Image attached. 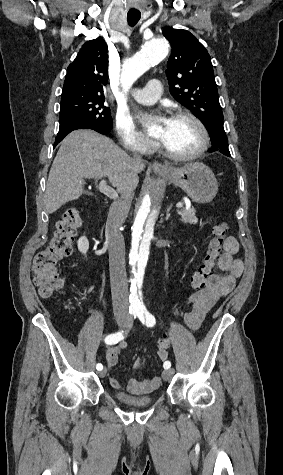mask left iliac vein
I'll return each mask as SVG.
<instances>
[{
    "label": "left iliac vein",
    "instance_id": "4c4485c4",
    "mask_svg": "<svg viewBox=\"0 0 283 475\" xmlns=\"http://www.w3.org/2000/svg\"><path fill=\"white\" fill-rule=\"evenodd\" d=\"M174 374V370L173 369H170V370H164L162 372V378L164 381H168L171 379L172 375Z\"/></svg>",
    "mask_w": 283,
    "mask_h": 475
}]
</instances>
